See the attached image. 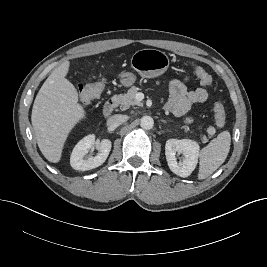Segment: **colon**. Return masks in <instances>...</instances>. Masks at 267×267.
<instances>
[{
    "label": "colon",
    "instance_id": "5ec220e1",
    "mask_svg": "<svg viewBox=\"0 0 267 267\" xmlns=\"http://www.w3.org/2000/svg\"><path fill=\"white\" fill-rule=\"evenodd\" d=\"M195 74L202 85L211 86V76L200 66L194 68ZM104 89V81L88 83L81 85L79 88V101L82 106L90 105L94 100L99 98ZM214 119L218 127H223L226 123V111L220 101L214 103Z\"/></svg>",
    "mask_w": 267,
    "mask_h": 267
}]
</instances>
